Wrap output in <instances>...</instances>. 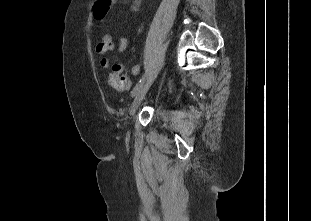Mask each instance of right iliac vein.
Masks as SVG:
<instances>
[{"instance_id": "right-iliac-vein-1", "label": "right iliac vein", "mask_w": 311, "mask_h": 221, "mask_svg": "<svg viewBox=\"0 0 311 221\" xmlns=\"http://www.w3.org/2000/svg\"><path fill=\"white\" fill-rule=\"evenodd\" d=\"M155 77H156V75L151 80H149L146 84L142 85L141 88L136 93V95H135V97L131 103L130 109H129L130 116L135 115L140 103L144 99V97H145L147 91L149 90L151 84L153 83Z\"/></svg>"}]
</instances>
